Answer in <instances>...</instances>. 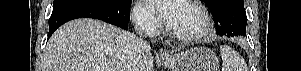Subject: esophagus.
<instances>
[{
    "mask_svg": "<svg viewBox=\"0 0 301 71\" xmlns=\"http://www.w3.org/2000/svg\"><path fill=\"white\" fill-rule=\"evenodd\" d=\"M159 55L162 57V58H168L169 57V53L165 50H160L159 51Z\"/></svg>",
    "mask_w": 301,
    "mask_h": 71,
    "instance_id": "34e87169",
    "label": "esophagus"
}]
</instances>
